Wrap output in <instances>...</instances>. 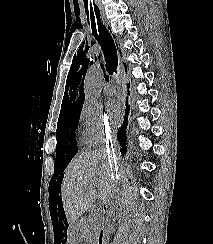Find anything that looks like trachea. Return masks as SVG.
<instances>
[{
  "label": "trachea",
  "instance_id": "trachea-1",
  "mask_svg": "<svg viewBox=\"0 0 213 244\" xmlns=\"http://www.w3.org/2000/svg\"><path fill=\"white\" fill-rule=\"evenodd\" d=\"M88 22H91L92 34L99 42L106 62V70L112 75L117 73L118 56L114 40L108 30L105 28L100 19V11L98 7H90V11L86 10Z\"/></svg>",
  "mask_w": 213,
  "mask_h": 244
}]
</instances>
